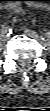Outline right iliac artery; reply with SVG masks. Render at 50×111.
<instances>
[{"label":"right iliac artery","mask_w":50,"mask_h":111,"mask_svg":"<svg viewBox=\"0 0 50 111\" xmlns=\"http://www.w3.org/2000/svg\"><path fill=\"white\" fill-rule=\"evenodd\" d=\"M12 33V29L9 28V27H3L2 30H1V35L4 36V35H10Z\"/></svg>","instance_id":"1"}]
</instances>
